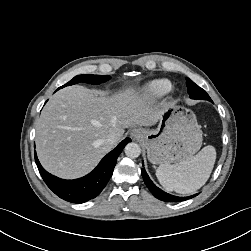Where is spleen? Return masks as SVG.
Here are the masks:
<instances>
[{
  "mask_svg": "<svg viewBox=\"0 0 251 251\" xmlns=\"http://www.w3.org/2000/svg\"><path fill=\"white\" fill-rule=\"evenodd\" d=\"M216 160V150L206 146L195 156L176 164H160L156 176L167 191L192 194L210 177Z\"/></svg>",
  "mask_w": 251,
  "mask_h": 251,
  "instance_id": "3e777b00",
  "label": "spleen"
}]
</instances>
